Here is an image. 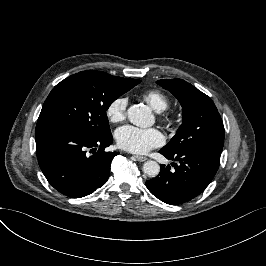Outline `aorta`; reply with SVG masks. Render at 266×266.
Instances as JSON below:
<instances>
[{
  "label": "aorta",
  "mask_w": 266,
  "mask_h": 266,
  "mask_svg": "<svg viewBox=\"0 0 266 266\" xmlns=\"http://www.w3.org/2000/svg\"><path fill=\"white\" fill-rule=\"evenodd\" d=\"M129 121L139 127H148L154 123V116L146 105H133L127 110ZM143 172L150 178L156 177L160 172V165L153 160L143 164Z\"/></svg>",
  "instance_id": "obj_1"
}]
</instances>
